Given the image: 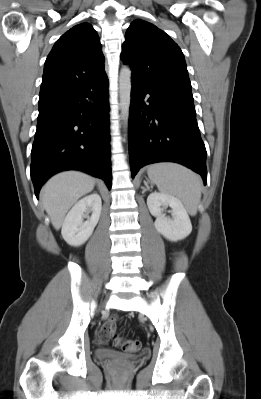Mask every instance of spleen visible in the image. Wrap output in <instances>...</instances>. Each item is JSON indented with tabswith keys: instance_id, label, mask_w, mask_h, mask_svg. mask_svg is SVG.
Returning a JSON list of instances; mask_svg holds the SVG:
<instances>
[{
	"instance_id": "1",
	"label": "spleen",
	"mask_w": 261,
	"mask_h": 399,
	"mask_svg": "<svg viewBox=\"0 0 261 399\" xmlns=\"http://www.w3.org/2000/svg\"><path fill=\"white\" fill-rule=\"evenodd\" d=\"M147 174L159 191L178 197L189 214L196 215L202 191V181L196 173L175 163H156L148 167Z\"/></svg>"
}]
</instances>
